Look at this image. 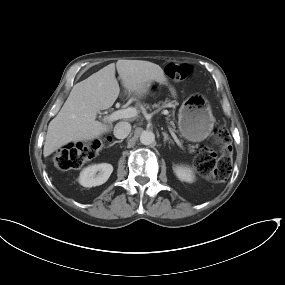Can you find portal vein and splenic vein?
I'll list each match as a JSON object with an SVG mask.
<instances>
[{
	"instance_id": "obj_1",
	"label": "portal vein and splenic vein",
	"mask_w": 285,
	"mask_h": 285,
	"mask_svg": "<svg viewBox=\"0 0 285 285\" xmlns=\"http://www.w3.org/2000/svg\"><path fill=\"white\" fill-rule=\"evenodd\" d=\"M164 115L168 114V111H163ZM137 115V110L135 108H127V109H121V110H117L115 112H113L111 115L107 116L106 119L108 121H116L119 119H125V118H131V117H135ZM169 131L172 135V137L174 138L175 142L177 143V145L180 148H184L182 143L179 141V139L177 138V136L174 133V130L172 128L169 127Z\"/></svg>"
}]
</instances>
